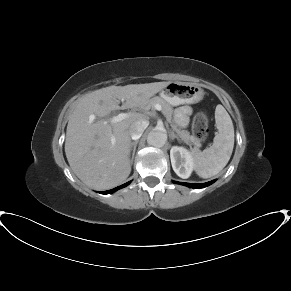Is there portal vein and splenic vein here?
Here are the masks:
<instances>
[{"mask_svg": "<svg viewBox=\"0 0 291 291\" xmlns=\"http://www.w3.org/2000/svg\"><path fill=\"white\" fill-rule=\"evenodd\" d=\"M154 108L157 111H161L162 110V107L159 104H155ZM128 116H129V114H127V113H119L117 116H114V117L111 118V122L112 123L120 122V121L126 119ZM112 142L114 143V139H112Z\"/></svg>", "mask_w": 291, "mask_h": 291, "instance_id": "1", "label": "portal vein and splenic vein"}]
</instances>
